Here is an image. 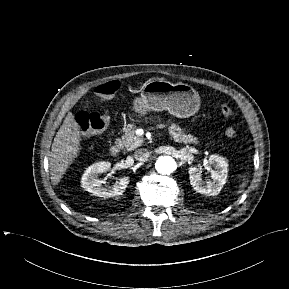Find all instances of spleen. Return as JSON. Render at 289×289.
Wrapping results in <instances>:
<instances>
[{
	"label": "spleen",
	"mask_w": 289,
	"mask_h": 289,
	"mask_svg": "<svg viewBox=\"0 0 289 289\" xmlns=\"http://www.w3.org/2000/svg\"><path fill=\"white\" fill-rule=\"evenodd\" d=\"M245 185H246V183H243V184L241 185V187L243 188ZM239 192H242V191H239Z\"/></svg>",
	"instance_id": "spleen-1"
}]
</instances>
